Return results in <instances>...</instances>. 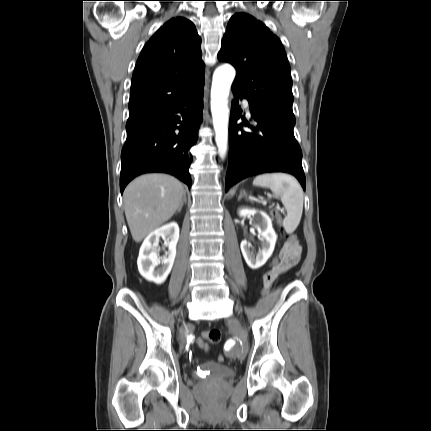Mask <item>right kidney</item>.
Returning <instances> with one entry per match:
<instances>
[{
  "mask_svg": "<svg viewBox=\"0 0 431 431\" xmlns=\"http://www.w3.org/2000/svg\"><path fill=\"white\" fill-rule=\"evenodd\" d=\"M162 237L168 246L166 257H159L157 246ZM179 240V226L172 222L151 232L144 240L137 259L140 274L148 281L162 284L168 277L176 257V246Z\"/></svg>",
  "mask_w": 431,
  "mask_h": 431,
  "instance_id": "right-kidney-1",
  "label": "right kidney"
}]
</instances>
